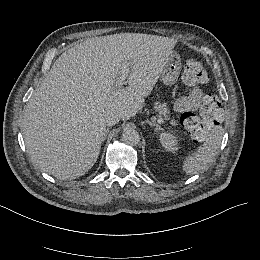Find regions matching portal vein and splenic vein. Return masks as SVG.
Returning <instances> with one entry per match:
<instances>
[{"mask_svg": "<svg viewBox=\"0 0 260 260\" xmlns=\"http://www.w3.org/2000/svg\"><path fill=\"white\" fill-rule=\"evenodd\" d=\"M129 67L125 66L123 67V69L120 71V76L116 79L115 81V88H119L120 86H122L124 84V81L126 80V78L129 76ZM156 120H158L159 124H163L164 120L162 119V117H156Z\"/></svg>", "mask_w": 260, "mask_h": 260, "instance_id": "obj_1", "label": "portal vein and splenic vein"}]
</instances>
